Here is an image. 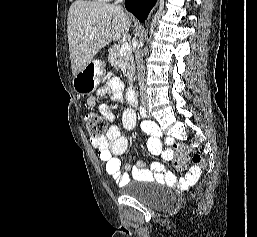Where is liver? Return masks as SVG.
Instances as JSON below:
<instances>
[{"label":"liver","mask_w":257,"mask_h":237,"mask_svg":"<svg viewBox=\"0 0 257 237\" xmlns=\"http://www.w3.org/2000/svg\"><path fill=\"white\" fill-rule=\"evenodd\" d=\"M130 25L128 15L115 5L84 0L72 3L67 21L72 74L83 70L100 49L126 36Z\"/></svg>","instance_id":"6515ba94"}]
</instances>
